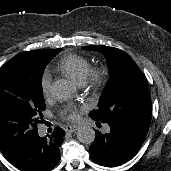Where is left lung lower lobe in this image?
Wrapping results in <instances>:
<instances>
[{
    "instance_id": "1",
    "label": "left lung lower lobe",
    "mask_w": 171,
    "mask_h": 171,
    "mask_svg": "<svg viewBox=\"0 0 171 171\" xmlns=\"http://www.w3.org/2000/svg\"><path fill=\"white\" fill-rule=\"evenodd\" d=\"M106 123L110 126L109 133L95 131L96 137L89 152L92 160L99 165L119 166L137 154L149 128L126 121L112 120Z\"/></svg>"
}]
</instances>
